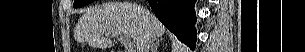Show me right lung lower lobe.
<instances>
[{
	"label": "right lung lower lobe",
	"instance_id": "right-lung-lower-lobe-1",
	"mask_svg": "<svg viewBox=\"0 0 305 52\" xmlns=\"http://www.w3.org/2000/svg\"><path fill=\"white\" fill-rule=\"evenodd\" d=\"M196 0H148L156 17L191 49L195 48L196 22L193 5ZM181 8V9H180Z\"/></svg>",
	"mask_w": 305,
	"mask_h": 52
}]
</instances>
